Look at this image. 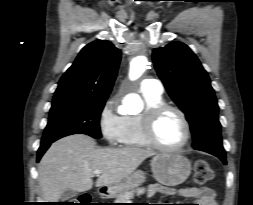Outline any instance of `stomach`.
<instances>
[{
  "mask_svg": "<svg viewBox=\"0 0 253 205\" xmlns=\"http://www.w3.org/2000/svg\"><path fill=\"white\" fill-rule=\"evenodd\" d=\"M154 178L168 187L183 183L191 173V162L179 153H160L151 160ZM145 181L142 171H134L131 175L118 183L106 186L105 193L110 197H117L130 188Z\"/></svg>",
  "mask_w": 253,
  "mask_h": 205,
  "instance_id": "0dacf381",
  "label": "stomach"
}]
</instances>
